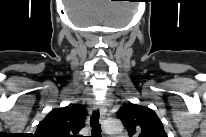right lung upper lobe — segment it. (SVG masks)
Segmentation results:
<instances>
[{"label": "right lung upper lobe", "mask_w": 206, "mask_h": 137, "mask_svg": "<svg viewBox=\"0 0 206 137\" xmlns=\"http://www.w3.org/2000/svg\"><path fill=\"white\" fill-rule=\"evenodd\" d=\"M86 109L77 104L53 109L38 124L37 137H75L84 127Z\"/></svg>", "instance_id": "obj_1"}]
</instances>
